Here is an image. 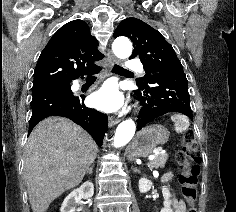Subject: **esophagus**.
<instances>
[{
	"instance_id": "1",
	"label": "esophagus",
	"mask_w": 236,
	"mask_h": 212,
	"mask_svg": "<svg viewBox=\"0 0 236 212\" xmlns=\"http://www.w3.org/2000/svg\"><path fill=\"white\" fill-rule=\"evenodd\" d=\"M116 63V59L113 55H109V64L113 65ZM117 123H119V119L118 118H114V117H109V126L112 127L114 125H116Z\"/></svg>"
}]
</instances>
